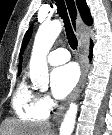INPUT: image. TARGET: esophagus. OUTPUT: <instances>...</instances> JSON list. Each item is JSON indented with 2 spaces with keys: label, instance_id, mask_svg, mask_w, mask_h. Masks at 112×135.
<instances>
[{
  "label": "esophagus",
  "instance_id": "34e87169",
  "mask_svg": "<svg viewBox=\"0 0 112 135\" xmlns=\"http://www.w3.org/2000/svg\"><path fill=\"white\" fill-rule=\"evenodd\" d=\"M71 1H74V0H65L68 15H69L72 27L77 31L78 34H81L84 30V25L79 15V12L76 8L75 1H74L75 9L69 6ZM68 6H69V9H68ZM78 51L81 53V61H80L81 77L77 86L73 90V92L69 95L67 100L59 107L58 112L54 118L55 120H57V118H59L62 115V113L67 108L70 102L76 100L80 96L81 91L84 87L86 76L88 73V58H87V52L84 50L81 43L79 44Z\"/></svg>",
  "mask_w": 112,
  "mask_h": 135
}]
</instances>
